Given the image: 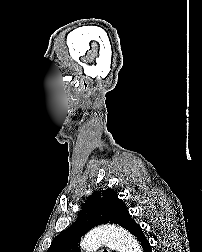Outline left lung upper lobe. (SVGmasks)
Segmentation results:
<instances>
[{"mask_svg":"<svg viewBox=\"0 0 202 252\" xmlns=\"http://www.w3.org/2000/svg\"><path fill=\"white\" fill-rule=\"evenodd\" d=\"M136 222L114 189L94 191L84 203L76 221L51 242L47 252H80L81 237L101 224H116L128 231Z\"/></svg>","mask_w":202,"mask_h":252,"instance_id":"1","label":"left lung upper lobe"}]
</instances>
